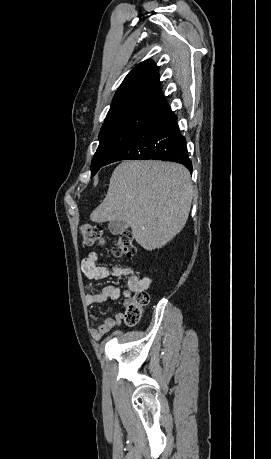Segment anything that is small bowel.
I'll list each match as a JSON object with an SVG mask.
<instances>
[{
    "label": "small bowel",
    "instance_id": "1",
    "mask_svg": "<svg viewBox=\"0 0 271 459\" xmlns=\"http://www.w3.org/2000/svg\"><path fill=\"white\" fill-rule=\"evenodd\" d=\"M81 268L85 276L91 280H100L104 278H120L127 277L128 289L132 292L143 291L149 286V280L140 276L131 268L123 266L100 267L98 265V256L92 252L82 260ZM122 291L120 288L108 285L96 291H90L85 295V301L88 305L105 303L110 300H117L121 297ZM123 314L117 313L113 317L104 320L96 328L92 329V336L95 339H100L106 333L115 327H119L122 323Z\"/></svg>",
    "mask_w": 271,
    "mask_h": 459
}]
</instances>
